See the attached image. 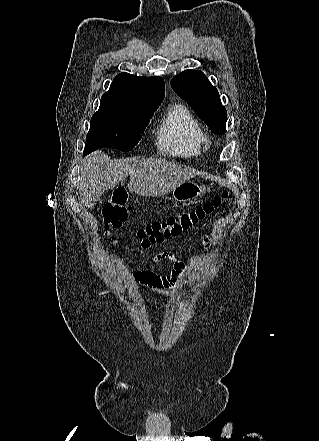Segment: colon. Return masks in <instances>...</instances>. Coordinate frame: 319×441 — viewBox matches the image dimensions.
<instances>
[{
  "mask_svg": "<svg viewBox=\"0 0 319 441\" xmlns=\"http://www.w3.org/2000/svg\"><path fill=\"white\" fill-rule=\"evenodd\" d=\"M228 197L224 192L221 197L206 202L196 208L179 212L176 215L168 217L161 222L152 223L139 229L136 233L143 248L160 243L165 239L177 236L183 231L188 230L193 225L215 213ZM127 193L124 189L114 191L110 200L105 203L102 213L104 228L107 234L114 229H118L127 219Z\"/></svg>",
  "mask_w": 319,
  "mask_h": 441,
  "instance_id": "colon-1",
  "label": "colon"
}]
</instances>
